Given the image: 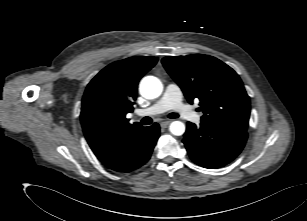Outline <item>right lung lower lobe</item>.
Segmentation results:
<instances>
[{
    "mask_svg": "<svg viewBox=\"0 0 307 221\" xmlns=\"http://www.w3.org/2000/svg\"><path fill=\"white\" fill-rule=\"evenodd\" d=\"M159 134L160 127L157 123L142 127L99 160L107 168L117 172L133 171L149 160Z\"/></svg>",
    "mask_w": 307,
    "mask_h": 221,
    "instance_id": "1",
    "label": "right lung lower lobe"
}]
</instances>
